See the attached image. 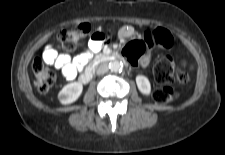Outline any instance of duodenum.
Listing matches in <instances>:
<instances>
[{"mask_svg": "<svg viewBox=\"0 0 225 155\" xmlns=\"http://www.w3.org/2000/svg\"><path fill=\"white\" fill-rule=\"evenodd\" d=\"M116 60H124L122 55L117 52H111V53H106L99 55L91 65H89L86 70L83 72V74L80 76V81L82 83H88L95 72V69L105 63L111 62V61H116Z\"/></svg>", "mask_w": 225, "mask_h": 155, "instance_id": "duodenum-1", "label": "duodenum"}]
</instances>
